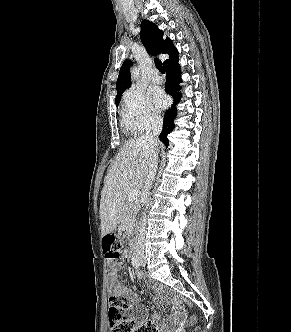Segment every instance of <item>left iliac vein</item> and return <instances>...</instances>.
I'll return each mask as SVG.
<instances>
[{
	"instance_id": "left-iliac-vein-1",
	"label": "left iliac vein",
	"mask_w": 291,
	"mask_h": 332,
	"mask_svg": "<svg viewBox=\"0 0 291 332\" xmlns=\"http://www.w3.org/2000/svg\"><path fill=\"white\" fill-rule=\"evenodd\" d=\"M146 264V261L144 258H140V265L144 266Z\"/></svg>"
}]
</instances>
